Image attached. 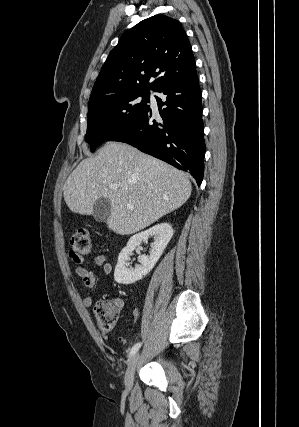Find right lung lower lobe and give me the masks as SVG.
<instances>
[{"label": "right lung lower lobe", "mask_w": 299, "mask_h": 427, "mask_svg": "<svg viewBox=\"0 0 299 427\" xmlns=\"http://www.w3.org/2000/svg\"><path fill=\"white\" fill-rule=\"evenodd\" d=\"M156 92L162 122L148 111L129 129L112 141L128 143L180 170L188 171L200 185L203 180L205 142L201 91L197 74L167 83Z\"/></svg>", "instance_id": "1"}]
</instances>
